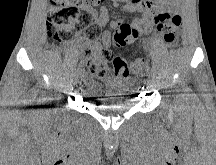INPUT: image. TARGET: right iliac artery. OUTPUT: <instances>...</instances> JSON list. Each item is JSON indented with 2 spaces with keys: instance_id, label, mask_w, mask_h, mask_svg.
<instances>
[{
  "instance_id": "82829eb1",
  "label": "right iliac artery",
  "mask_w": 216,
  "mask_h": 165,
  "mask_svg": "<svg viewBox=\"0 0 216 165\" xmlns=\"http://www.w3.org/2000/svg\"><path fill=\"white\" fill-rule=\"evenodd\" d=\"M82 65L80 64L78 67H77V72H82Z\"/></svg>"
}]
</instances>
